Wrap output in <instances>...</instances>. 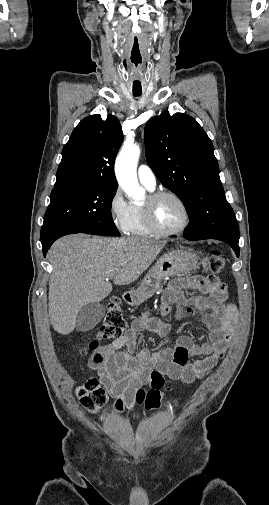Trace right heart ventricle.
<instances>
[{
    "instance_id": "e07e8e85",
    "label": "right heart ventricle",
    "mask_w": 269,
    "mask_h": 505,
    "mask_svg": "<svg viewBox=\"0 0 269 505\" xmlns=\"http://www.w3.org/2000/svg\"><path fill=\"white\" fill-rule=\"evenodd\" d=\"M147 188V187H146ZM152 191L153 189L147 188ZM127 233L133 236L146 237L153 233L148 229L144 222L141 206L131 205V218Z\"/></svg>"
}]
</instances>
